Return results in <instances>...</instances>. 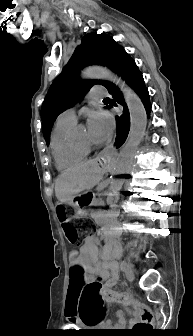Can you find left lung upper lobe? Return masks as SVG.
<instances>
[{
  "label": "left lung upper lobe",
  "instance_id": "1",
  "mask_svg": "<svg viewBox=\"0 0 193 336\" xmlns=\"http://www.w3.org/2000/svg\"><path fill=\"white\" fill-rule=\"evenodd\" d=\"M124 50L106 34H87L62 72L50 86L41 108L43 134L49 144L53 122L59 114L74 106L95 84L108 87L104 80H80L79 72L88 65L107 66L115 72L119 53Z\"/></svg>",
  "mask_w": 193,
  "mask_h": 336
}]
</instances>
